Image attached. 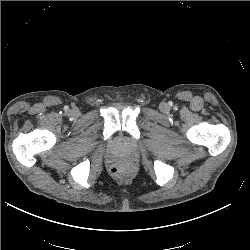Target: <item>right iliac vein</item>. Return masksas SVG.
<instances>
[{
  "label": "right iliac vein",
  "instance_id": "obj_1",
  "mask_svg": "<svg viewBox=\"0 0 250 250\" xmlns=\"http://www.w3.org/2000/svg\"><path fill=\"white\" fill-rule=\"evenodd\" d=\"M72 115H75L76 114V111H72V113H71Z\"/></svg>",
  "mask_w": 250,
  "mask_h": 250
}]
</instances>
